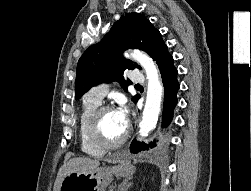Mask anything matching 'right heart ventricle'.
Returning a JSON list of instances; mask_svg holds the SVG:
<instances>
[{
	"label": "right heart ventricle",
	"mask_w": 251,
	"mask_h": 191,
	"mask_svg": "<svg viewBox=\"0 0 251 191\" xmlns=\"http://www.w3.org/2000/svg\"><path fill=\"white\" fill-rule=\"evenodd\" d=\"M100 105V100L93 97L83 99L76 123V141L81 154L91 157L100 158L105 154V150L95 146L88 137L87 127L91 115Z\"/></svg>",
	"instance_id": "e07e8e85"
}]
</instances>
